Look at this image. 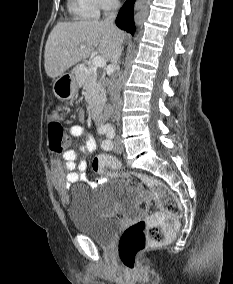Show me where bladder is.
Segmentation results:
<instances>
[{
    "label": "bladder",
    "instance_id": "1",
    "mask_svg": "<svg viewBox=\"0 0 233 284\" xmlns=\"http://www.w3.org/2000/svg\"><path fill=\"white\" fill-rule=\"evenodd\" d=\"M135 197V190L126 181L115 180L108 184L100 200H95L83 186L71 190L68 206V217L73 228L80 234L86 235L97 244L109 245L121 227V221L104 215L101 206L117 204L125 206Z\"/></svg>",
    "mask_w": 233,
    "mask_h": 284
}]
</instances>
